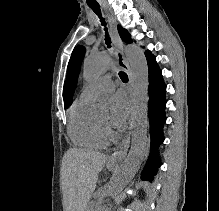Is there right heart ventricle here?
<instances>
[{
	"instance_id": "obj_1",
	"label": "right heart ventricle",
	"mask_w": 219,
	"mask_h": 211,
	"mask_svg": "<svg viewBox=\"0 0 219 211\" xmlns=\"http://www.w3.org/2000/svg\"><path fill=\"white\" fill-rule=\"evenodd\" d=\"M91 102L79 99L69 112L68 133L78 145L91 149H101L107 140L100 123L91 117L89 105Z\"/></svg>"
}]
</instances>
